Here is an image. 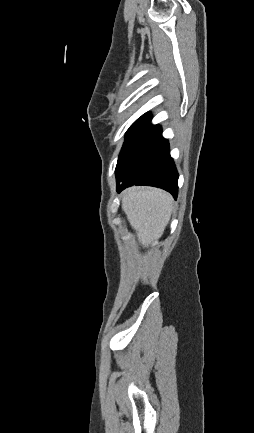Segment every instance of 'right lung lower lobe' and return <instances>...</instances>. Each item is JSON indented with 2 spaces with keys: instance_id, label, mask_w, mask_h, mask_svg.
Segmentation results:
<instances>
[{
  "instance_id": "right-lung-lower-lobe-1",
  "label": "right lung lower lobe",
  "mask_w": 254,
  "mask_h": 433,
  "mask_svg": "<svg viewBox=\"0 0 254 433\" xmlns=\"http://www.w3.org/2000/svg\"><path fill=\"white\" fill-rule=\"evenodd\" d=\"M150 113L141 116L126 133L116 166L117 192L132 185H149L170 192L176 199L178 173L161 127L152 125Z\"/></svg>"
}]
</instances>
